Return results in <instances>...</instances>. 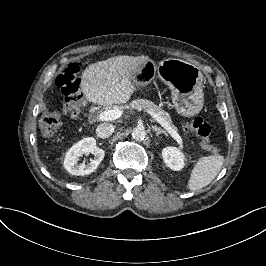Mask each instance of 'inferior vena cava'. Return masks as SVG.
<instances>
[{
	"instance_id": "inferior-vena-cava-1",
	"label": "inferior vena cava",
	"mask_w": 266,
	"mask_h": 266,
	"mask_svg": "<svg viewBox=\"0 0 266 266\" xmlns=\"http://www.w3.org/2000/svg\"><path fill=\"white\" fill-rule=\"evenodd\" d=\"M114 132V126L108 123H102L97 126L96 134L100 138H108Z\"/></svg>"
}]
</instances>
